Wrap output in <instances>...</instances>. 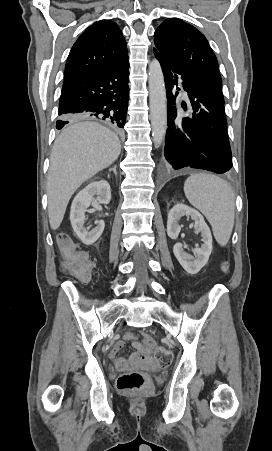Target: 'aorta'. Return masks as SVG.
<instances>
[{"label": "aorta", "mask_w": 272, "mask_h": 451, "mask_svg": "<svg viewBox=\"0 0 272 451\" xmlns=\"http://www.w3.org/2000/svg\"><path fill=\"white\" fill-rule=\"evenodd\" d=\"M148 84L153 142L161 146L167 130V106L164 76L158 60L149 64Z\"/></svg>", "instance_id": "762f6f07"}]
</instances>
